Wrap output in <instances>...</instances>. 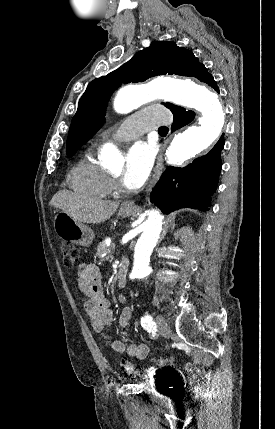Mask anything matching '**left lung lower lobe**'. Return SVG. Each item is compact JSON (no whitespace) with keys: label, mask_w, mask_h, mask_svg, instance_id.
Wrapping results in <instances>:
<instances>
[{"label":"left lung lower lobe","mask_w":275,"mask_h":429,"mask_svg":"<svg viewBox=\"0 0 275 429\" xmlns=\"http://www.w3.org/2000/svg\"><path fill=\"white\" fill-rule=\"evenodd\" d=\"M197 78L219 92L216 82L204 66ZM171 111L174 115L172 131L189 124L195 117L194 112L179 106H175ZM223 147L224 134L208 154L196 158L188 166L168 167L153 188L150 201L164 213L186 207L207 211L210 195L215 192L218 184L222 167L220 153Z\"/></svg>","instance_id":"0a47b994"}]
</instances>
